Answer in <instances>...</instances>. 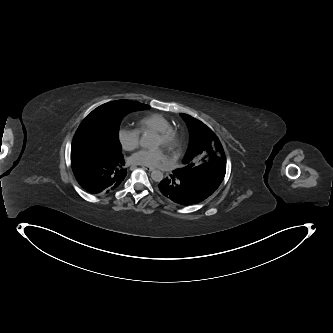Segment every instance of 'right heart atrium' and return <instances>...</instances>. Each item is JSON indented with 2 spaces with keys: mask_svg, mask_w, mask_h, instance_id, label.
<instances>
[{
  "mask_svg": "<svg viewBox=\"0 0 333 333\" xmlns=\"http://www.w3.org/2000/svg\"><path fill=\"white\" fill-rule=\"evenodd\" d=\"M118 139L124 150L133 151L140 144V132L135 128L121 127L118 131Z\"/></svg>",
  "mask_w": 333,
  "mask_h": 333,
  "instance_id": "right-heart-atrium-1",
  "label": "right heart atrium"
}]
</instances>
